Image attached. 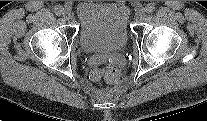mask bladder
<instances>
[{
  "label": "bladder",
  "mask_w": 207,
  "mask_h": 121,
  "mask_svg": "<svg viewBox=\"0 0 207 121\" xmlns=\"http://www.w3.org/2000/svg\"><path fill=\"white\" fill-rule=\"evenodd\" d=\"M76 17L80 44L86 52H113L125 47L130 18L126 3L80 2Z\"/></svg>",
  "instance_id": "obj_1"
}]
</instances>
